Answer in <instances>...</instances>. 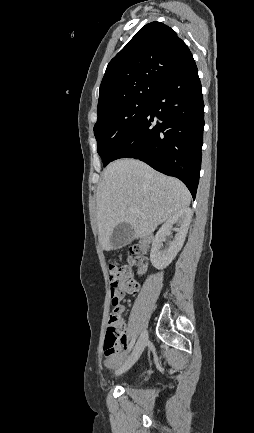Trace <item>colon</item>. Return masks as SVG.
<instances>
[{"instance_id": "1", "label": "colon", "mask_w": 254, "mask_h": 433, "mask_svg": "<svg viewBox=\"0 0 254 433\" xmlns=\"http://www.w3.org/2000/svg\"><path fill=\"white\" fill-rule=\"evenodd\" d=\"M137 251L133 250L128 257V264L110 263V285H111V312L109 314L108 327L104 351L106 355H112L117 351L118 346L122 343L124 334V324L120 317V306L116 291L125 293H135L138 285L133 278L131 265L137 261Z\"/></svg>"}]
</instances>
